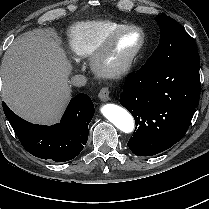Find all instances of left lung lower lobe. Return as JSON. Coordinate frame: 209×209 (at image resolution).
Returning <instances> with one entry per match:
<instances>
[{
    "label": "left lung lower lobe",
    "instance_id": "1",
    "mask_svg": "<svg viewBox=\"0 0 209 209\" xmlns=\"http://www.w3.org/2000/svg\"><path fill=\"white\" fill-rule=\"evenodd\" d=\"M199 69L196 53L162 67L143 65L129 75L120 103L136 122L127 143L135 155L158 154L184 137L199 103Z\"/></svg>",
    "mask_w": 209,
    "mask_h": 209
}]
</instances>
